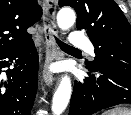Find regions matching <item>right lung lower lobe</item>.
Wrapping results in <instances>:
<instances>
[{
	"label": "right lung lower lobe",
	"instance_id": "98d812e1",
	"mask_svg": "<svg viewBox=\"0 0 131 115\" xmlns=\"http://www.w3.org/2000/svg\"><path fill=\"white\" fill-rule=\"evenodd\" d=\"M7 81L0 80V115H30L38 84V53L34 42L0 53V74L3 68Z\"/></svg>",
	"mask_w": 131,
	"mask_h": 115
}]
</instances>
